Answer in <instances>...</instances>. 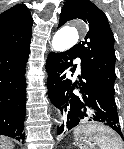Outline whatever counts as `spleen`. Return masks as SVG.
Here are the masks:
<instances>
[{"label":"spleen","instance_id":"3e777b00","mask_svg":"<svg viewBox=\"0 0 124 149\" xmlns=\"http://www.w3.org/2000/svg\"><path fill=\"white\" fill-rule=\"evenodd\" d=\"M83 131H85L86 134L89 135L96 144H98L100 149H120L119 139L110 136L104 128H100V131L97 134H91L92 130L89 127L79 126L74 130V135L78 136Z\"/></svg>","mask_w":124,"mask_h":149}]
</instances>
